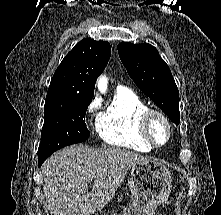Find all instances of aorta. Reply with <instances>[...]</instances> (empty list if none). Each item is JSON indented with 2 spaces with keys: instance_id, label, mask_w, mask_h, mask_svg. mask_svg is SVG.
Here are the masks:
<instances>
[{
  "instance_id": "1",
  "label": "aorta",
  "mask_w": 221,
  "mask_h": 215,
  "mask_svg": "<svg viewBox=\"0 0 221 215\" xmlns=\"http://www.w3.org/2000/svg\"><path fill=\"white\" fill-rule=\"evenodd\" d=\"M108 79L105 75L99 77L97 81V87L101 93H105L107 91Z\"/></svg>"
}]
</instances>
